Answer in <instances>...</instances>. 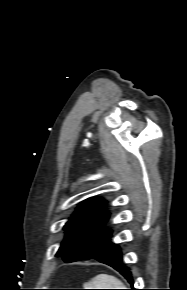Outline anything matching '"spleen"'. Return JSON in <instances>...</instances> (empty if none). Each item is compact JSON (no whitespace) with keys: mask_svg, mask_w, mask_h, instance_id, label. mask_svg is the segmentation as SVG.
<instances>
[{"mask_svg":"<svg viewBox=\"0 0 187 290\" xmlns=\"http://www.w3.org/2000/svg\"><path fill=\"white\" fill-rule=\"evenodd\" d=\"M86 286L93 289H124V284L112 275L99 274L89 281Z\"/></svg>","mask_w":187,"mask_h":290,"instance_id":"1","label":"spleen"}]
</instances>
